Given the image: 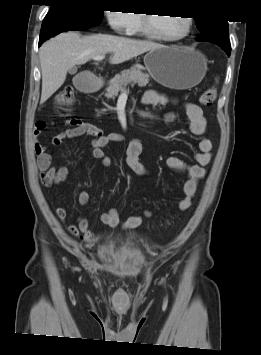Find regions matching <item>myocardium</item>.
<instances>
[{
	"label": "myocardium",
	"mask_w": 261,
	"mask_h": 355,
	"mask_svg": "<svg viewBox=\"0 0 261 355\" xmlns=\"http://www.w3.org/2000/svg\"><path fill=\"white\" fill-rule=\"evenodd\" d=\"M150 15L151 14H148V13L141 15V30H142L143 34H145L146 36H148L152 39L166 41V42H177V41L183 40L191 33L192 26H193V19L189 16H184V19L186 22L185 31L182 34H180L179 36L170 37V36H164V35L156 32L153 29V27L151 25Z\"/></svg>",
	"instance_id": "1"
}]
</instances>
